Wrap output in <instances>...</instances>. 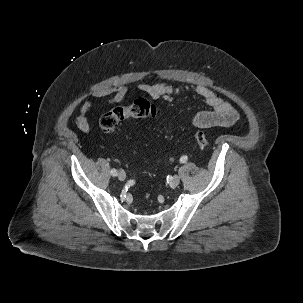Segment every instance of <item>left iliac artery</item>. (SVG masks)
Here are the masks:
<instances>
[{
  "instance_id": "1",
  "label": "left iliac artery",
  "mask_w": 303,
  "mask_h": 303,
  "mask_svg": "<svg viewBox=\"0 0 303 303\" xmlns=\"http://www.w3.org/2000/svg\"><path fill=\"white\" fill-rule=\"evenodd\" d=\"M187 160H188V157H187L186 155H184V156H182V157L180 158V162H181V163H186Z\"/></svg>"
}]
</instances>
